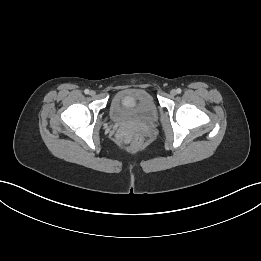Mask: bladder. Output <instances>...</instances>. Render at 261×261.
Segmentation results:
<instances>
[{"mask_svg": "<svg viewBox=\"0 0 261 261\" xmlns=\"http://www.w3.org/2000/svg\"><path fill=\"white\" fill-rule=\"evenodd\" d=\"M109 113L118 123L149 124L157 118V106L151 93L144 89H125L111 99Z\"/></svg>", "mask_w": 261, "mask_h": 261, "instance_id": "bladder-1", "label": "bladder"}]
</instances>
